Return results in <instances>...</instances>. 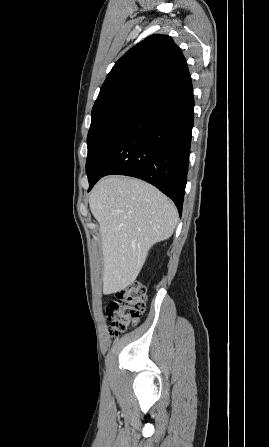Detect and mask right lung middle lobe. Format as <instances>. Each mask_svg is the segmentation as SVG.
Masks as SVG:
<instances>
[{
	"label": "right lung middle lobe",
	"mask_w": 269,
	"mask_h": 447,
	"mask_svg": "<svg viewBox=\"0 0 269 447\" xmlns=\"http://www.w3.org/2000/svg\"><path fill=\"white\" fill-rule=\"evenodd\" d=\"M140 107L142 106H122L92 118L87 138V173L92 168L94 160L115 136L125 120Z\"/></svg>",
	"instance_id": "obj_1"
}]
</instances>
